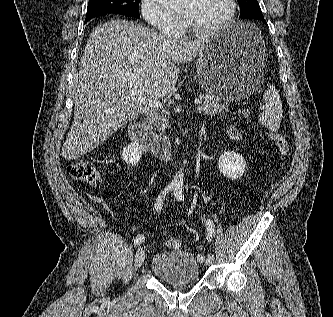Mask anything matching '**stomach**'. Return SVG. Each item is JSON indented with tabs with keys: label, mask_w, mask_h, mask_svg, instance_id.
<instances>
[{
	"label": "stomach",
	"mask_w": 333,
	"mask_h": 317,
	"mask_svg": "<svg viewBox=\"0 0 333 317\" xmlns=\"http://www.w3.org/2000/svg\"><path fill=\"white\" fill-rule=\"evenodd\" d=\"M265 43L255 24L233 23L208 37L196 61L197 80L227 102L262 95Z\"/></svg>",
	"instance_id": "obj_1"
}]
</instances>
